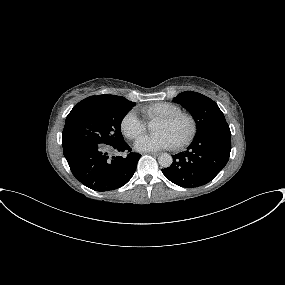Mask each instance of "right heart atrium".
I'll list each match as a JSON object with an SVG mask.
<instances>
[{"instance_id": "right-heart-atrium-1", "label": "right heart atrium", "mask_w": 285, "mask_h": 285, "mask_svg": "<svg viewBox=\"0 0 285 285\" xmlns=\"http://www.w3.org/2000/svg\"><path fill=\"white\" fill-rule=\"evenodd\" d=\"M145 129V123L141 120L135 110L129 111L121 121V130L129 139L136 138L142 134Z\"/></svg>"}]
</instances>
